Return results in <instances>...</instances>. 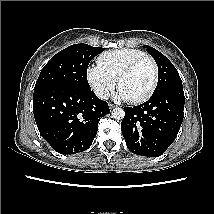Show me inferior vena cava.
<instances>
[{
    "label": "inferior vena cava",
    "mask_w": 214,
    "mask_h": 214,
    "mask_svg": "<svg viewBox=\"0 0 214 214\" xmlns=\"http://www.w3.org/2000/svg\"><path fill=\"white\" fill-rule=\"evenodd\" d=\"M95 94L100 98V99H104V100H107L109 98V92L104 90V89H97L95 91Z\"/></svg>",
    "instance_id": "inferior-vena-cava-1"
}]
</instances>
